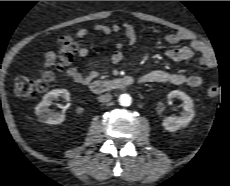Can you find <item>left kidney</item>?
<instances>
[{"mask_svg":"<svg viewBox=\"0 0 230 186\" xmlns=\"http://www.w3.org/2000/svg\"><path fill=\"white\" fill-rule=\"evenodd\" d=\"M167 97L169 99L177 98L183 101L184 111L180 116H170L166 117L162 125L163 127L170 132L178 130L180 127L187 126L194 117V104L192 99L186 95L184 92L179 90H173L168 93Z\"/></svg>","mask_w":230,"mask_h":186,"instance_id":"left-kidney-1","label":"left kidney"}]
</instances>
